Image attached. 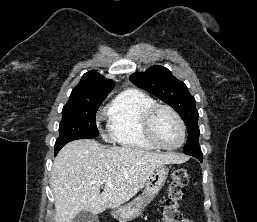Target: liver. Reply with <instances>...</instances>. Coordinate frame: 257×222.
<instances>
[{"mask_svg":"<svg viewBox=\"0 0 257 222\" xmlns=\"http://www.w3.org/2000/svg\"><path fill=\"white\" fill-rule=\"evenodd\" d=\"M186 160L133 147H105L95 140L72 141L53 162L54 222H72L81 211L96 215L117 208L144 187L156 168ZM102 182L105 186L100 194Z\"/></svg>","mask_w":257,"mask_h":222,"instance_id":"1","label":"liver"}]
</instances>
